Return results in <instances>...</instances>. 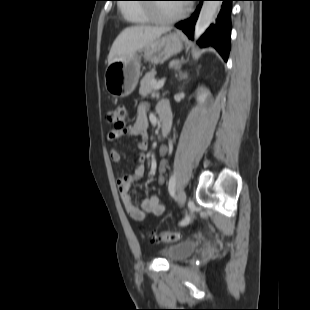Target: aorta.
Wrapping results in <instances>:
<instances>
[{
    "label": "aorta",
    "mask_w": 310,
    "mask_h": 310,
    "mask_svg": "<svg viewBox=\"0 0 310 310\" xmlns=\"http://www.w3.org/2000/svg\"><path fill=\"white\" fill-rule=\"evenodd\" d=\"M220 6L221 1H205L203 3L198 20L195 25V39H198L209 27Z\"/></svg>",
    "instance_id": "762f6f07"
}]
</instances>
